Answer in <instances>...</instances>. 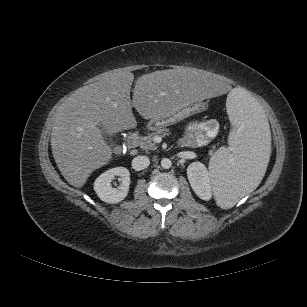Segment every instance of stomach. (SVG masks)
<instances>
[{"mask_svg":"<svg viewBox=\"0 0 307 307\" xmlns=\"http://www.w3.org/2000/svg\"><path fill=\"white\" fill-rule=\"evenodd\" d=\"M206 108L207 105L203 102L189 104L174 113L151 118L148 122L147 128L150 130L165 128L183 120L184 118H187L192 114L201 112Z\"/></svg>","mask_w":307,"mask_h":307,"instance_id":"stomach-1","label":"stomach"}]
</instances>
